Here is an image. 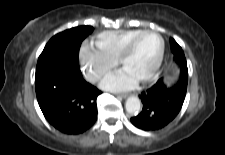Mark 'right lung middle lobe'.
I'll use <instances>...</instances> for the list:
<instances>
[{"label": "right lung middle lobe", "mask_w": 225, "mask_h": 155, "mask_svg": "<svg viewBox=\"0 0 225 155\" xmlns=\"http://www.w3.org/2000/svg\"><path fill=\"white\" fill-rule=\"evenodd\" d=\"M92 31L93 27L91 26H80L65 30L52 37L39 56L35 83L41 81L63 61L69 60L78 64L81 43Z\"/></svg>", "instance_id": "1"}]
</instances>
